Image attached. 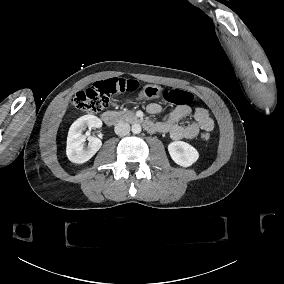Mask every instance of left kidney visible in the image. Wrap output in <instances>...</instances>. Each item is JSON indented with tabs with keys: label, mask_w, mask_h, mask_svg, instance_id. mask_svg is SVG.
I'll return each instance as SVG.
<instances>
[{
	"label": "left kidney",
	"mask_w": 284,
	"mask_h": 284,
	"mask_svg": "<svg viewBox=\"0 0 284 284\" xmlns=\"http://www.w3.org/2000/svg\"><path fill=\"white\" fill-rule=\"evenodd\" d=\"M167 149L174 163L184 168L192 166L200 156L195 147L184 141H173Z\"/></svg>",
	"instance_id": "1"
}]
</instances>
